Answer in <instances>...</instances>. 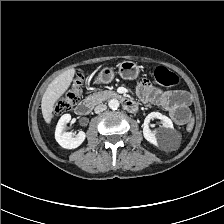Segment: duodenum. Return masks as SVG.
Segmentation results:
<instances>
[{
  "label": "duodenum",
  "instance_id": "obj_1",
  "mask_svg": "<svg viewBox=\"0 0 224 224\" xmlns=\"http://www.w3.org/2000/svg\"><path fill=\"white\" fill-rule=\"evenodd\" d=\"M105 96L111 99H119V100L121 99L125 110L130 113H134L137 110V104L135 101L128 98H122V96L116 92H112V91L106 92ZM96 103H97L96 97L86 98L76 105L75 113L80 116L87 115L92 110V108L94 107Z\"/></svg>",
  "mask_w": 224,
  "mask_h": 224
}]
</instances>
